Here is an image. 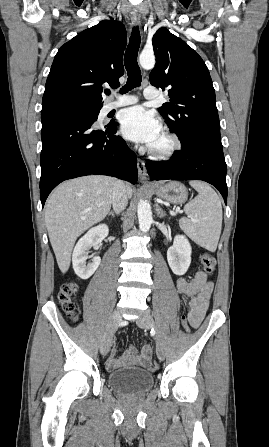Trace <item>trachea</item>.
<instances>
[{
	"mask_svg": "<svg viewBox=\"0 0 269 447\" xmlns=\"http://www.w3.org/2000/svg\"><path fill=\"white\" fill-rule=\"evenodd\" d=\"M140 46V34L138 28H134L130 37V43L124 56V64L128 74V80L126 85L122 87L120 93H126L132 88L141 85V70L137 63V54ZM107 95L110 91L106 92Z\"/></svg>",
	"mask_w": 269,
	"mask_h": 447,
	"instance_id": "3493384b",
	"label": "trachea"
}]
</instances>
